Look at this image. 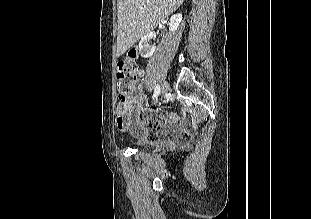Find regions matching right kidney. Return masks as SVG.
Wrapping results in <instances>:
<instances>
[{"label": "right kidney", "mask_w": 311, "mask_h": 219, "mask_svg": "<svg viewBox=\"0 0 311 219\" xmlns=\"http://www.w3.org/2000/svg\"><path fill=\"white\" fill-rule=\"evenodd\" d=\"M182 21V14L173 15L170 19L169 30L175 32ZM154 38V33L150 32L143 36L139 42V51L144 58L151 57L155 52V46L150 44L151 39Z\"/></svg>", "instance_id": "1"}]
</instances>
